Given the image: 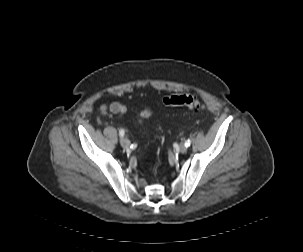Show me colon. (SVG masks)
Returning <instances> with one entry per match:
<instances>
[{
    "mask_svg": "<svg viewBox=\"0 0 303 252\" xmlns=\"http://www.w3.org/2000/svg\"><path fill=\"white\" fill-rule=\"evenodd\" d=\"M163 104L167 106H186L196 112L204 109L203 103L191 94H174L163 99ZM151 115L150 110H145L140 115V123H143Z\"/></svg>",
    "mask_w": 303,
    "mask_h": 252,
    "instance_id": "colon-1",
    "label": "colon"
}]
</instances>
